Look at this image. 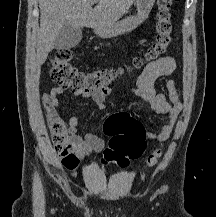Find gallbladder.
Segmentation results:
<instances>
[{"mask_svg": "<svg viewBox=\"0 0 216 217\" xmlns=\"http://www.w3.org/2000/svg\"><path fill=\"white\" fill-rule=\"evenodd\" d=\"M82 39V31L80 28L73 27L69 24L64 25L55 41V48L62 50L72 48L79 44Z\"/></svg>", "mask_w": 216, "mask_h": 217, "instance_id": "bac80fb5", "label": "gallbladder"}]
</instances>
